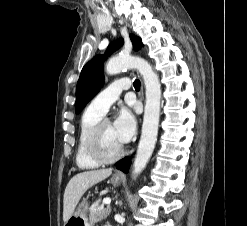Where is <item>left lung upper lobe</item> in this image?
Here are the masks:
<instances>
[{
  "label": "left lung upper lobe",
  "instance_id": "left-lung-upper-lobe-1",
  "mask_svg": "<svg viewBox=\"0 0 247 226\" xmlns=\"http://www.w3.org/2000/svg\"><path fill=\"white\" fill-rule=\"evenodd\" d=\"M134 49L139 50L142 47V41L139 37L130 35ZM123 44V39H118L112 42L104 55H97L83 67L77 87H76V102L75 110L78 114L86 104L98 93L104 84L103 65L105 59L114 51L119 49Z\"/></svg>",
  "mask_w": 247,
  "mask_h": 226
}]
</instances>
